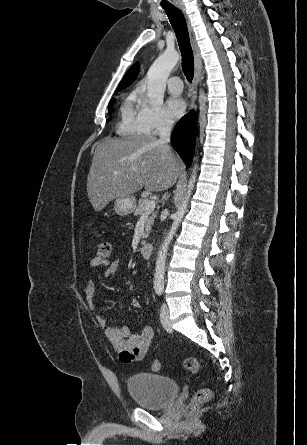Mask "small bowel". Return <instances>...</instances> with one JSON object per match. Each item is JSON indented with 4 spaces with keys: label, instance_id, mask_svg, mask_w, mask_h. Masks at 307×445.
Masks as SVG:
<instances>
[{
    "label": "small bowel",
    "instance_id": "c3829d8e",
    "mask_svg": "<svg viewBox=\"0 0 307 445\" xmlns=\"http://www.w3.org/2000/svg\"><path fill=\"white\" fill-rule=\"evenodd\" d=\"M89 265L91 268L104 267L105 276L112 279L119 270L121 261L120 259L102 260L93 258ZM95 295V284L93 281H89L85 288V300L90 310L95 309ZM131 305L134 308L140 307V303L136 299L132 301ZM96 323L102 328L105 337L112 347L119 353V359L123 363L142 360L154 338V331L151 326L144 327L140 333H131L127 326L117 328L107 326L106 320L100 315H96Z\"/></svg>",
    "mask_w": 307,
    "mask_h": 445
}]
</instances>
